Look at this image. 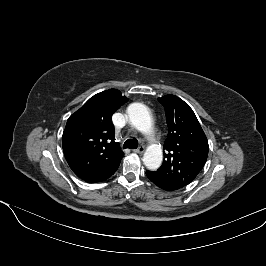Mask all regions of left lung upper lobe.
Here are the masks:
<instances>
[{
  "label": "left lung upper lobe",
  "mask_w": 266,
  "mask_h": 266,
  "mask_svg": "<svg viewBox=\"0 0 266 266\" xmlns=\"http://www.w3.org/2000/svg\"><path fill=\"white\" fill-rule=\"evenodd\" d=\"M164 106L168 135L164 143V162L154 171L172 186L191 183L204 167L208 141L193 110L175 95L158 98Z\"/></svg>",
  "instance_id": "left-lung-upper-lobe-1"
}]
</instances>
